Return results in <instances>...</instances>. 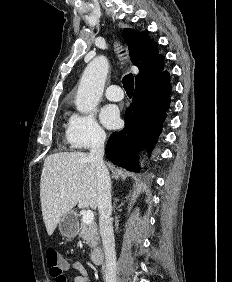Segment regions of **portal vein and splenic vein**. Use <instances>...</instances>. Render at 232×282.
Returning <instances> with one entry per match:
<instances>
[{"label": "portal vein and splenic vein", "mask_w": 232, "mask_h": 282, "mask_svg": "<svg viewBox=\"0 0 232 282\" xmlns=\"http://www.w3.org/2000/svg\"><path fill=\"white\" fill-rule=\"evenodd\" d=\"M94 220V213L91 210H88L84 213L82 221L86 224L92 223Z\"/></svg>", "instance_id": "portal-vein-and-splenic-vein-1"}]
</instances>
